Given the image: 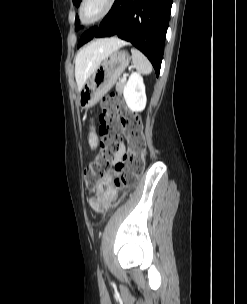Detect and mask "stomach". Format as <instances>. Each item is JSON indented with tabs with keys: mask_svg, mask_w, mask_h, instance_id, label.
Here are the masks:
<instances>
[{
	"mask_svg": "<svg viewBox=\"0 0 247 304\" xmlns=\"http://www.w3.org/2000/svg\"><path fill=\"white\" fill-rule=\"evenodd\" d=\"M129 62L130 56L125 50L115 51L106 57L79 90V106L82 108L94 106L113 87Z\"/></svg>",
	"mask_w": 247,
	"mask_h": 304,
	"instance_id": "1",
	"label": "stomach"
}]
</instances>
